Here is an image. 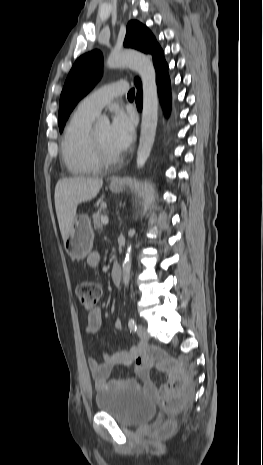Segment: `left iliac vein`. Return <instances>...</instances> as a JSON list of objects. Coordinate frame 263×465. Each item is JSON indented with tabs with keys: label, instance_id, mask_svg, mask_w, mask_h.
Masks as SVG:
<instances>
[{
	"label": "left iliac vein",
	"instance_id": "left-iliac-vein-1",
	"mask_svg": "<svg viewBox=\"0 0 263 465\" xmlns=\"http://www.w3.org/2000/svg\"><path fill=\"white\" fill-rule=\"evenodd\" d=\"M137 334L140 337V339L143 340V341H147L150 338V336H149V334L147 332V328L144 325H138Z\"/></svg>",
	"mask_w": 263,
	"mask_h": 465
}]
</instances>
